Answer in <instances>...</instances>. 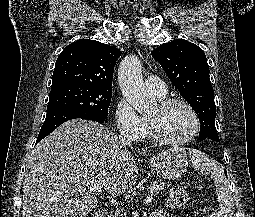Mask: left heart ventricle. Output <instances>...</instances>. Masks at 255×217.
<instances>
[{
  "mask_svg": "<svg viewBox=\"0 0 255 217\" xmlns=\"http://www.w3.org/2000/svg\"><path fill=\"white\" fill-rule=\"evenodd\" d=\"M148 118L163 137L171 140L186 138L194 127L190 111L181 104H174L165 110H161L157 105L149 113Z\"/></svg>",
  "mask_w": 255,
  "mask_h": 217,
  "instance_id": "b2bd125f",
  "label": "left heart ventricle"
}]
</instances>
